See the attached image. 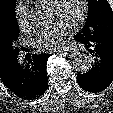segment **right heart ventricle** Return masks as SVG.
<instances>
[{
    "label": "right heart ventricle",
    "instance_id": "e07e8e85",
    "mask_svg": "<svg viewBox=\"0 0 113 113\" xmlns=\"http://www.w3.org/2000/svg\"><path fill=\"white\" fill-rule=\"evenodd\" d=\"M44 4L53 5L56 0H38Z\"/></svg>",
    "mask_w": 113,
    "mask_h": 113
}]
</instances>
